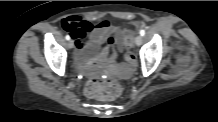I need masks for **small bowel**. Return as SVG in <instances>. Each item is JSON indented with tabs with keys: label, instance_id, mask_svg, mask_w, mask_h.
Masks as SVG:
<instances>
[{
	"label": "small bowel",
	"instance_id": "c3829d8e",
	"mask_svg": "<svg viewBox=\"0 0 218 122\" xmlns=\"http://www.w3.org/2000/svg\"><path fill=\"white\" fill-rule=\"evenodd\" d=\"M63 27L71 33L76 43L77 56L80 60L91 55H97L101 50V45L106 44L105 33L115 32L117 35L118 52L124 50L125 40L122 30L111 27L108 21H101L96 25L80 17L72 16L63 20ZM88 34V36H87ZM87 36V38H86ZM76 72L78 73V64Z\"/></svg>",
	"mask_w": 218,
	"mask_h": 122
}]
</instances>
